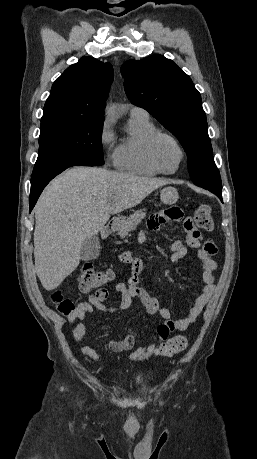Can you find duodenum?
Here are the masks:
<instances>
[{"label":"duodenum","instance_id":"duodenum-1","mask_svg":"<svg viewBox=\"0 0 257 459\" xmlns=\"http://www.w3.org/2000/svg\"><path fill=\"white\" fill-rule=\"evenodd\" d=\"M118 222L116 220H113L111 222H109L101 231V236L103 238H107L109 237L113 231L115 230L116 226H117Z\"/></svg>","mask_w":257,"mask_h":459}]
</instances>
